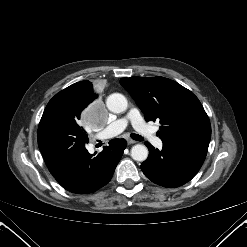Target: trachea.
<instances>
[{
	"label": "trachea",
	"instance_id": "obj_1",
	"mask_svg": "<svg viewBox=\"0 0 247 247\" xmlns=\"http://www.w3.org/2000/svg\"><path fill=\"white\" fill-rule=\"evenodd\" d=\"M131 138L136 140V141H143V137H141L140 135L135 134V133L131 134Z\"/></svg>",
	"mask_w": 247,
	"mask_h": 247
}]
</instances>
